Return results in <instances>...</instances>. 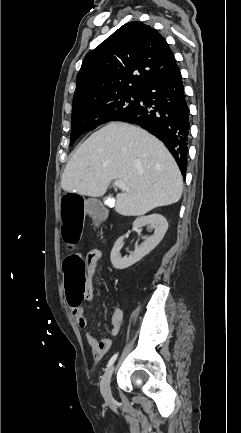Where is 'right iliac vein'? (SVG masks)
Masks as SVG:
<instances>
[{"label": "right iliac vein", "instance_id": "1", "mask_svg": "<svg viewBox=\"0 0 241 433\" xmlns=\"http://www.w3.org/2000/svg\"><path fill=\"white\" fill-rule=\"evenodd\" d=\"M114 372V366H111L104 374L102 381H101V393L104 397V399L107 402H112L113 401V396H112V392H111V378Z\"/></svg>", "mask_w": 241, "mask_h": 433}]
</instances>
